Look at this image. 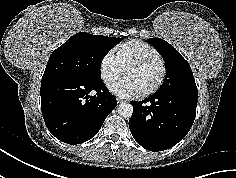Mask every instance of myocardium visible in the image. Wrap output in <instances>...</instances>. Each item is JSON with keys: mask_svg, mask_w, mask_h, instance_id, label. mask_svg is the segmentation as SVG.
<instances>
[{"mask_svg": "<svg viewBox=\"0 0 236 178\" xmlns=\"http://www.w3.org/2000/svg\"><path fill=\"white\" fill-rule=\"evenodd\" d=\"M152 64H158L160 66V68H161L160 76H159L157 82L152 87H150L149 89H147L139 94L141 97H147V96L155 93L163 85V83L166 79V75H167V66H166L165 61L163 59H161L160 57L149 58V59H144V60L132 61L124 68V75H125L127 73V71H129L130 69L147 67Z\"/></svg>", "mask_w": 236, "mask_h": 178, "instance_id": "myocardium-1", "label": "myocardium"}]
</instances>
